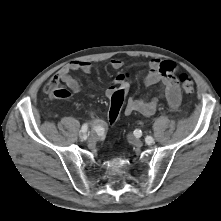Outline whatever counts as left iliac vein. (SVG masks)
<instances>
[{"label":"left iliac vein","mask_w":221,"mask_h":221,"mask_svg":"<svg viewBox=\"0 0 221 221\" xmlns=\"http://www.w3.org/2000/svg\"><path fill=\"white\" fill-rule=\"evenodd\" d=\"M128 140L134 146L141 147L143 145L142 140H140L139 138L135 137L132 134L128 135ZM153 143H154V139H153V142L151 144H153ZM151 144H149V145H151Z\"/></svg>","instance_id":"left-iliac-vein-1"}]
</instances>
